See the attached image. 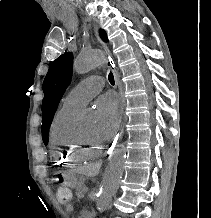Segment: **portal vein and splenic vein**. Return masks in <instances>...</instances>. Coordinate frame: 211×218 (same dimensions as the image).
I'll return each instance as SVG.
<instances>
[{
  "label": "portal vein and splenic vein",
  "instance_id": "obj_1",
  "mask_svg": "<svg viewBox=\"0 0 211 218\" xmlns=\"http://www.w3.org/2000/svg\"><path fill=\"white\" fill-rule=\"evenodd\" d=\"M83 190L86 192L88 190V187H85Z\"/></svg>",
  "mask_w": 211,
  "mask_h": 218
}]
</instances>
